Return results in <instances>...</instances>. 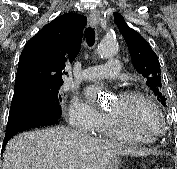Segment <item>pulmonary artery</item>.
<instances>
[{"mask_svg": "<svg viewBox=\"0 0 177 169\" xmlns=\"http://www.w3.org/2000/svg\"><path fill=\"white\" fill-rule=\"evenodd\" d=\"M121 64L118 59L110 58L107 64L86 68L81 74V78L88 81H98L110 79L117 76Z\"/></svg>", "mask_w": 177, "mask_h": 169, "instance_id": "pulmonary-artery-1", "label": "pulmonary artery"}]
</instances>
